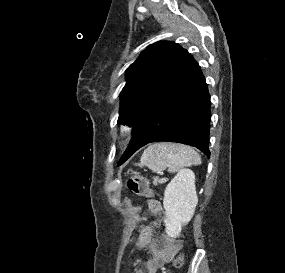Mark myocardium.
I'll return each instance as SVG.
<instances>
[{"label": "myocardium", "mask_w": 285, "mask_h": 273, "mask_svg": "<svg viewBox=\"0 0 285 273\" xmlns=\"http://www.w3.org/2000/svg\"><path fill=\"white\" fill-rule=\"evenodd\" d=\"M131 138H132V129L130 127H124L121 132L119 146L121 148L126 147L130 143Z\"/></svg>", "instance_id": "obj_1"}]
</instances>
